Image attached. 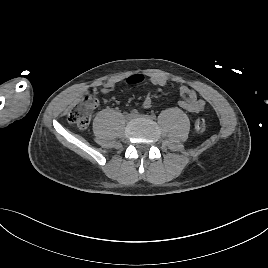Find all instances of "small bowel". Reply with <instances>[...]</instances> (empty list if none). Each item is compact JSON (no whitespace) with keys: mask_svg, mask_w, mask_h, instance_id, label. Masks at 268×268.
<instances>
[{"mask_svg":"<svg viewBox=\"0 0 268 268\" xmlns=\"http://www.w3.org/2000/svg\"><path fill=\"white\" fill-rule=\"evenodd\" d=\"M145 77L142 74H133L126 79V82L130 85H136L143 82ZM149 81L151 84L155 86L162 87L166 84V79L159 75H152L149 77ZM115 83L107 82L102 85L100 91L102 93L110 92L114 89ZM180 101L178 105L180 108L191 112V113H200L203 111L205 107V102L202 99L198 98L197 92L186 85H181L179 88ZM143 107L150 108L152 105V98L150 96H146L143 100Z\"/></svg>","mask_w":268,"mask_h":268,"instance_id":"1","label":"small bowel"}]
</instances>
